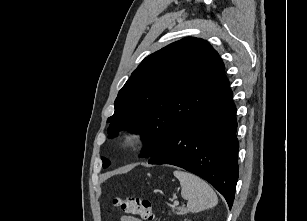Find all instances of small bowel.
Returning a JSON list of instances; mask_svg holds the SVG:
<instances>
[{
  "mask_svg": "<svg viewBox=\"0 0 307 221\" xmlns=\"http://www.w3.org/2000/svg\"><path fill=\"white\" fill-rule=\"evenodd\" d=\"M120 221H141V220L133 216L123 215L121 216Z\"/></svg>",
  "mask_w": 307,
  "mask_h": 221,
  "instance_id": "small-bowel-1",
  "label": "small bowel"
}]
</instances>
